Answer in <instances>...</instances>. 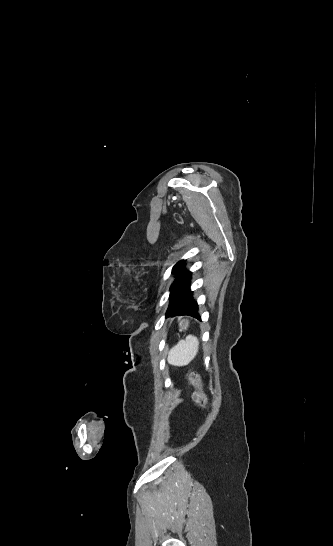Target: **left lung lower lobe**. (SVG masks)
<instances>
[{"mask_svg": "<svg viewBox=\"0 0 333 546\" xmlns=\"http://www.w3.org/2000/svg\"><path fill=\"white\" fill-rule=\"evenodd\" d=\"M191 272L183 270L178 274L170 289V304L166 316L189 315L201 320L197 302L192 299L190 290Z\"/></svg>", "mask_w": 333, "mask_h": 546, "instance_id": "0a47b994", "label": "left lung lower lobe"}]
</instances>
